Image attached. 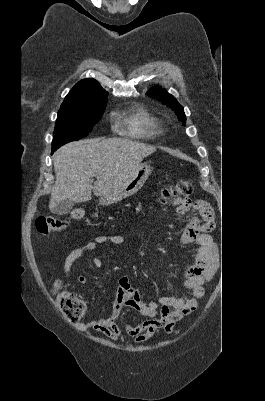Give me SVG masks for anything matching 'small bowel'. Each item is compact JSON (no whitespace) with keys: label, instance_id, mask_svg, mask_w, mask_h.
Wrapping results in <instances>:
<instances>
[{"label":"small bowel","instance_id":"1","mask_svg":"<svg viewBox=\"0 0 265 401\" xmlns=\"http://www.w3.org/2000/svg\"><path fill=\"white\" fill-rule=\"evenodd\" d=\"M170 204L175 208L178 217L186 213L191 214L181 234L180 243L182 245L196 243L199 246L195 263L183 272V285L188 290L189 295L179 298L160 297L158 301L144 302L140 290L133 288L129 277L124 276L119 281L110 315L79 324L78 328L81 331L93 329L113 341L131 339L135 343H142L150 339L158 329L164 328L166 324L173 328L177 321L196 311L199 299L204 295L203 284L214 273L218 263L216 244L209 235V232L215 227L214 211L212 206L202 199L177 198L173 199ZM123 241V237L119 235H99L76 247L64 260V276L69 278L74 262L85 253L93 251L107 242L121 244ZM138 253L141 257L145 256L142 250H139ZM91 262L97 268L102 267V261L97 257L92 258ZM87 279V276L81 275L78 278V285H84ZM159 305H161L160 313H158ZM124 307H130L141 316L152 319L135 326L124 324L121 327L118 324V319Z\"/></svg>","mask_w":265,"mask_h":401}]
</instances>
